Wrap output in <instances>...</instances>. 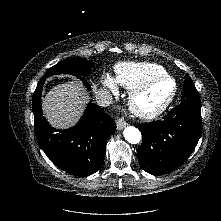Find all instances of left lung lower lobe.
Listing matches in <instances>:
<instances>
[{
    "mask_svg": "<svg viewBox=\"0 0 221 221\" xmlns=\"http://www.w3.org/2000/svg\"><path fill=\"white\" fill-rule=\"evenodd\" d=\"M138 161L153 175L170 173L191 155L201 135V105L179 104L162 120L139 125Z\"/></svg>",
    "mask_w": 221,
    "mask_h": 221,
    "instance_id": "left-lung-lower-lobe-1",
    "label": "left lung lower lobe"
}]
</instances>
